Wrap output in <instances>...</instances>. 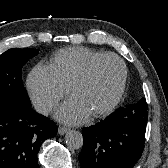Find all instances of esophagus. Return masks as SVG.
Returning a JSON list of instances; mask_svg holds the SVG:
<instances>
[{"label": "esophagus", "instance_id": "1", "mask_svg": "<svg viewBox=\"0 0 168 168\" xmlns=\"http://www.w3.org/2000/svg\"><path fill=\"white\" fill-rule=\"evenodd\" d=\"M70 129L64 126L58 127V134L59 135H65Z\"/></svg>", "mask_w": 168, "mask_h": 168}]
</instances>
